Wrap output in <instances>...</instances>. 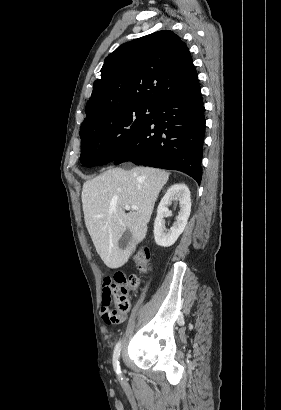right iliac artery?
Segmentation results:
<instances>
[{"mask_svg": "<svg viewBox=\"0 0 281 410\" xmlns=\"http://www.w3.org/2000/svg\"><path fill=\"white\" fill-rule=\"evenodd\" d=\"M120 351H121V342H118L115 346L114 354H113V367L115 371L117 372V374L121 373L120 365H119Z\"/></svg>", "mask_w": 281, "mask_h": 410, "instance_id": "1", "label": "right iliac artery"}]
</instances>
